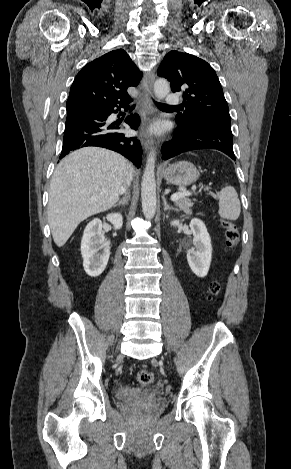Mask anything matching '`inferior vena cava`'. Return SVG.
<instances>
[{
	"label": "inferior vena cava",
	"instance_id": "1",
	"mask_svg": "<svg viewBox=\"0 0 291 469\" xmlns=\"http://www.w3.org/2000/svg\"><path fill=\"white\" fill-rule=\"evenodd\" d=\"M131 181H132V172H130V174L128 175V177L126 178V181L124 183V186H122L121 188V193H125L126 194V188L131 184Z\"/></svg>",
	"mask_w": 291,
	"mask_h": 469
}]
</instances>
